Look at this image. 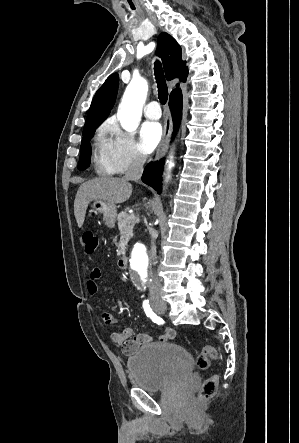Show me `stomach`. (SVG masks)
<instances>
[{"mask_svg": "<svg viewBox=\"0 0 299 443\" xmlns=\"http://www.w3.org/2000/svg\"><path fill=\"white\" fill-rule=\"evenodd\" d=\"M92 211L103 215L105 225L113 228L116 222V206L103 200H95L92 204Z\"/></svg>", "mask_w": 299, "mask_h": 443, "instance_id": "obj_1", "label": "stomach"}]
</instances>
